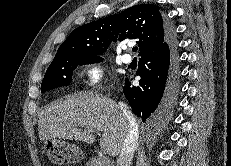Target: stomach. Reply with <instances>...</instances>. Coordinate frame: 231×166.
I'll return each instance as SVG.
<instances>
[{
  "mask_svg": "<svg viewBox=\"0 0 231 166\" xmlns=\"http://www.w3.org/2000/svg\"><path fill=\"white\" fill-rule=\"evenodd\" d=\"M45 149L51 161L58 165L78 163L84 157V153L80 147L61 139L45 141Z\"/></svg>",
  "mask_w": 231,
  "mask_h": 166,
  "instance_id": "1",
  "label": "stomach"
}]
</instances>
